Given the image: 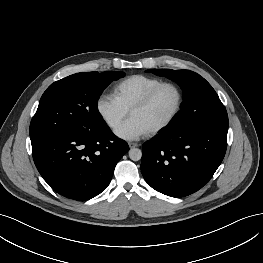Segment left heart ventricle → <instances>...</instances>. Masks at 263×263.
<instances>
[{
  "instance_id": "obj_1",
  "label": "left heart ventricle",
  "mask_w": 263,
  "mask_h": 263,
  "mask_svg": "<svg viewBox=\"0 0 263 263\" xmlns=\"http://www.w3.org/2000/svg\"><path fill=\"white\" fill-rule=\"evenodd\" d=\"M176 102V91L171 87H163L147 106L133 111L130 115L139 119L150 131L170 116Z\"/></svg>"
}]
</instances>
